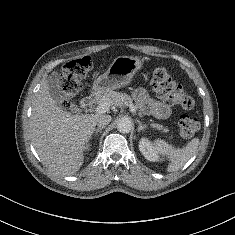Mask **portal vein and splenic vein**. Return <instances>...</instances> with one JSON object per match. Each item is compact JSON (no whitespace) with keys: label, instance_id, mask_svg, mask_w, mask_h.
<instances>
[{"label":"portal vein and splenic vein","instance_id":"obj_1","mask_svg":"<svg viewBox=\"0 0 235 235\" xmlns=\"http://www.w3.org/2000/svg\"><path fill=\"white\" fill-rule=\"evenodd\" d=\"M128 106L131 110L132 113H135L136 112V109H135V106L132 102H129L128 103ZM110 109V104L107 103V102H104V103H101L99 104L96 108H95V112L99 113V114H103V113H106L108 112Z\"/></svg>","mask_w":235,"mask_h":235}]
</instances>
